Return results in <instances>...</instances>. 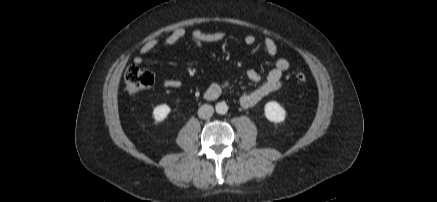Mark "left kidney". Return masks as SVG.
Segmentation results:
<instances>
[{"label": "left kidney", "instance_id": "1", "mask_svg": "<svg viewBox=\"0 0 437 202\" xmlns=\"http://www.w3.org/2000/svg\"><path fill=\"white\" fill-rule=\"evenodd\" d=\"M264 112L266 118L274 123L283 122L286 117L285 109L275 101H270L266 103L264 107Z\"/></svg>", "mask_w": 437, "mask_h": 202}]
</instances>
